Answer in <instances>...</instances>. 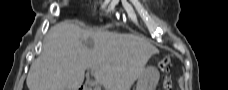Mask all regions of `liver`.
<instances>
[{
  "label": "liver",
  "mask_w": 228,
  "mask_h": 90,
  "mask_svg": "<svg viewBox=\"0 0 228 90\" xmlns=\"http://www.w3.org/2000/svg\"><path fill=\"white\" fill-rule=\"evenodd\" d=\"M91 40L88 48L83 40ZM158 49L147 39L125 33L90 31L70 21L52 27L42 54L32 62L29 90H79L93 68L104 90H130Z\"/></svg>",
  "instance_id": "obj_1"
}]
</instances>
